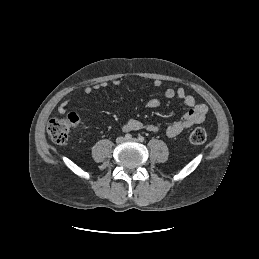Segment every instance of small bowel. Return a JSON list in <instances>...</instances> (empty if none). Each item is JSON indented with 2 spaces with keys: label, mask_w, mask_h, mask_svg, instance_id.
Here are the masks:
<instances>
[{
  "label": "small bowel",
  "mask_w": 259,
  "mask_h": 259,
  "mask_svg": "<svg viewBox=\"0 0 259 259\" xmlns=\"http://www.w3.org/2000/svg\"><path fill=\"white\" fill-rule=\"evenodd\" d=\"M111 83L113 86H120L121 84L120 80L118 79L112 80ZM153 85L156 88H160L162 86V81L158 79L154 80ZM106 86H108L107 82H101L94 86H87L84 88V93L91 94L93 90L103 88ZM164 96L167 99L178 98L189 108L180 120L166 127L165 131L168 137H176L182 132L191 128L192 126L204 122L206 114L208 112V106L203 103H197L196 99L192 95L188 94L184 88L174 89L172 87H168L164 92ZM146 105L148 108H157L160 105V99L152 98L147 102ZM67 106L68 101H63L58 107L59 113L64 114L67 110ZM141 129H146L151 132H158L160 130V126L157 124H144L137 119H130L123 126V130L126 132L138 131Z\"/></svg>",
  "instance_id": "small-bowel-1"
}]
</instances>
